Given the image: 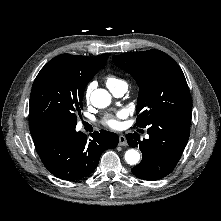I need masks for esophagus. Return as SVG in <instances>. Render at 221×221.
I'll return each instance as SVG.
<instances>
[{
    "instance_id": "1",
    "label": "esophagus",
    "mask_w": 221,
    "mask_h": 221,
    "mask_svg": "<svg viewBox=\"0 0 221 221\" xmlns=\"http://www.w3.org/2000/svg\"><path fill=\"white\" fill-rule=\"evenodd\" d=\"M119 145L121 146H126L127 145V140L124 135H119Z\"/></svg>"
}]
</instances>
